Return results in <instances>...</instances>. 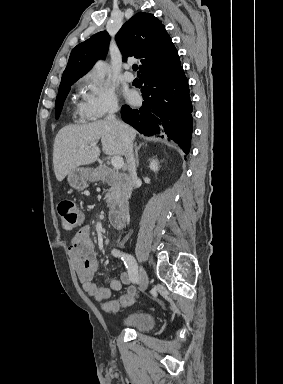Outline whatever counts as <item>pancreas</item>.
Listing matches in <instances>:
<instances>
[{
  "label": "pancreas",
  "instance_id": "obj_1",
  "mask_svg": "<svg viewBox=\"0 0 283 384\" xmlns=\"http://www.w3.org/2000/svg\"><path fill=\"white\" fill-rule=\"evenodd\" d=\"M100 168L105 170L106 178H116L117 174L115 170H111V168H107V166H100ZM105 198L107 202V208L114 210L115 206H117V204H121L122 202L120 186H110L109 190H107Z\"/></svg>",
  "mask_w": 283,
  "mask_h": 384
}]
</instances>
